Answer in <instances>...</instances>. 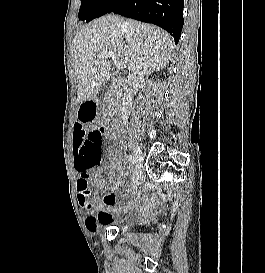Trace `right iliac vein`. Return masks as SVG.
<instances>
[{
	"label": "right iliac vein",
	"mask_w": 265,
	"mask_h": 273,
	"mask_svg": "<svg viewBox=\"0 0 265 273\" xmlns=\"http://www.w3.org/2000/svg\"><path fill=\"white\" fill-rule=\"evenodd\" d=\"M133 151H134V157L136 159V169H135V173H134L133 184H134V187H136L139 184V180H140L141 174H142L143 154H142L140 148L137 146L134 147Z\"/></svg>",
	"instance_id": "63e3f726"
}]
</instances>
